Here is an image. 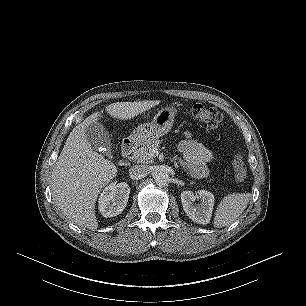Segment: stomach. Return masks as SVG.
<instances>
[{
    "mask_svg": "<svg viewBox=\"0 0 306 306\" xmlns=\"http://www.w3.org/2000/svg\"><path fill=\"white\" fill-rule=\"evenodd\" d=\"M177 113L175 107L162 108L153 118L151 123L138 126L129 138L138 144H147L167 134L172 126Z\"/></svg>",
    "mask_w": 306,
    "mask_h": 306,
    "instance_id": "0dacf381",
    "label": "stomach"
}]
</instances>
